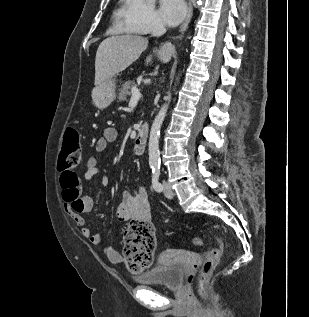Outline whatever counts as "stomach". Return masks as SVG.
Segmentation results:
<instances>
[{"label": "stomach", "instance_id": "obj_1", "mask_svg": "<svg viewBox=\"0 0 309 317\" xmlns=\"http://www.w3.org/2000/svg\"><path fill=\"white\" fill-rule=\"evenodd\" d=\"M115 79H108L92 91L93 104L99 109L107 108L116 98Z\"/></svg>", "mask_w": 309, "mask_h": 317}]
</instances>
